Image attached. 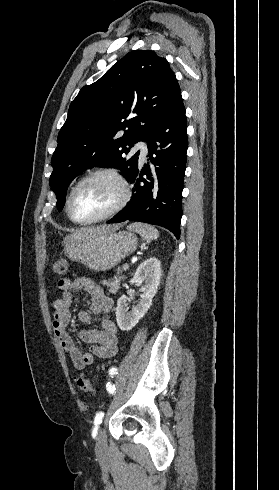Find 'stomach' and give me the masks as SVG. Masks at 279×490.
<instances>
[{"instance_id": "obj_1", "label": "stomach", "mask_w": 279, "mask_h": 490, "mask_svg": "<svg viewBox=\"0 0 279 490\" xmlns=\"http://www.w3.org/2000/svg\"><path fill=\"white\" fill-rule=\"evenodd\" d=\"M138 240L132 232H109L96 238L67 236L64 240V254L72 262H80L93 272H108L120 264L123 258L135 252Z\"/></svg>"}]
</instances>
